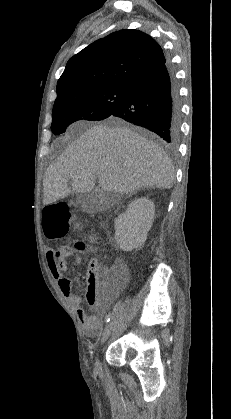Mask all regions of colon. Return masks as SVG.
<instances>
[{"label": "colon", "instance_id": "5ec220e1", "mask_svg": "<svg viewBox=\"0 0 231 419\" xmlns=\"http://www.w3.org/2000/svg\"><path fill=\"white\" fill-rule=\"evenodd\" d=\"M73 217L66 203L60 202L48 206L44 211V226L51 236H59L68 233L72 227H79V224L73 225ZM77 251L82 252L86 249V244L79 241L75 244ZM103 267L100 264L93 263L89 266V286L95 288L98 285V277L103 273ZM124 274L121 267H117L110 274L113 282Z\"/></svg>", "mask_w": 231, "mask_h": 419}]
</instances>
